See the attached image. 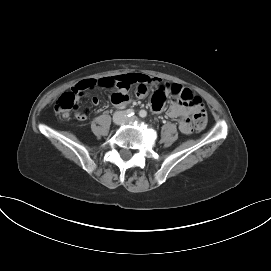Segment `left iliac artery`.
Returning <instances> with one entry per match:
<instances>
[{
  "label": "left iliac artery",
  "instance_id": "left-iliac-artery-1",
  "mask_svg": "<svg viewBox=\"0 0 271 271\" xmlns=\"http://www.w3.org/2000/svg\"><path fill=\"white\" fill-rule=\"evenodd\" d=\"M139 116L145 118L147 116V112L145 110H140Z\"/></svg>",
  "mask_w": 271,
  "mask_h": 271
}]
</instances>
